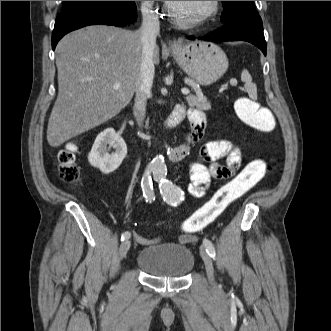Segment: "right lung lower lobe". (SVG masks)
Wrapping results in <instances>:
<instances>
[{
  "instance_id": "obj_1",
  "label": "right lung lower lobe",
  "mask_w": 331,
  "mask_h": 331,
  "mask_svg": "<svg viewBox=\"0 0 331 331\" xmlns=\"http://www.w3.org/2000/svg\"><path fill=\"white\" fill-rule=\"evenodd\" d=\"M135 1H112L86 5L61 13L55 21L52 33V49L68 32L88 25L105 24L123 27L135 22Z\"/></svg>"
}]
</instances>
